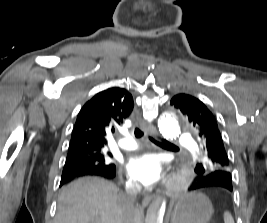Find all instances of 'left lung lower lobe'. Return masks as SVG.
<instances>
[{"mask_svg":"<svg viewBox=\"0 0 267 223\" xmlns=\"http://www.w3.org/2000/svg\"><path fill=\"white\" fill-rule=\"evenodd\" d=\"M192 192H210L214 195L232 194L235 187L232 173H192Z\"/></svg>","mask_w":267,"mask_h":223,"instance_id":"left-lung-lower-lobe-1","label":"left lung lower lobe"}]
</instances>
